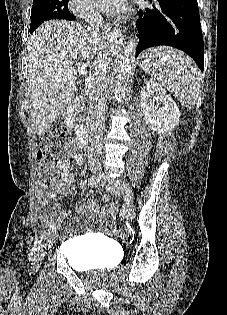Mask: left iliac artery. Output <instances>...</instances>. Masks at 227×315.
<instances>
[{"instance_id":"44dca946","label":"left iliac artery","mask_w":227,"mask_h":315,"mask_svg":"<svg viewBox=\"0 0 227 315\" xmlns=\"http://www.w3.org/2000/svg\"><path fill=\"white\" fill-rule=\"evenodd\" d=\"M119 182V181H118ZM133 197V195H131L130 193H125V198L131 200Z\"/></svg>"}]
</instances>
